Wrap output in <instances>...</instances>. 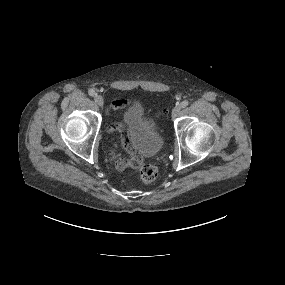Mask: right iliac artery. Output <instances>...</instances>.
Returning a JSON list of instances; mask_svg holds the SVG:
<instances>
[{
    "instance_id": "obj_1",
    "label": "right iliac artery",
    "mask_w": 285,
    "mask_h": 285,
    "mask_svg": "<svg viewBox=\"0 0 285 285\" xmlns=\"http://www.w3.org/2000/svg\"><path fill=\"white\" fill-rule=\"evenodd\" d=\"M88 93H89L90 96H95L96 95V92L93 89H90L88 91Z\"/></svg>"
}]
</instances>
